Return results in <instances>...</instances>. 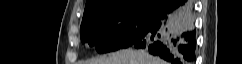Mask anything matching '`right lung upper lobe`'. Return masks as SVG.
<instances>
[{
    "instance_id": "1",
    "label": "right lung upper lobe",
    "mask_w": 242,
    "mask_h": 64,
    "mask_svg": "<svg viewBox=\"0 0 242 64\" xmlns=\"http://www.w3.org/2000/svg\"><path fill=\"white\" fill-rule=\"evenodd\" d=\"M163 1L164 0H87L83 21L94 16L134 8H148L159 11L162 7Z\"/></svg>"
}]
</instances>
